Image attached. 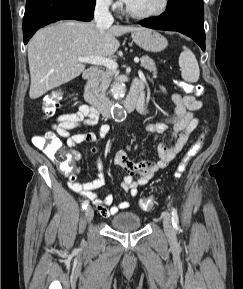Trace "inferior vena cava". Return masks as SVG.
I'll return each mask as SVG.
<instances>
[{"label": "inferior vena cava", "instance_id": "obj_1", "mask_svg": "<svg viewBox=\"0 0 243 289\" xmlns=\"http://www.w3.org/2000/svg\"><path fill=\"white\" fill-rule=\"evenodd\" d=\"M110 0H97L95 7V22L100 34L103 35L105 30L114 22L113 16L109 11Z\"/></svg>", "mask_w": 243, "mask_h": 289}]
</instances>
